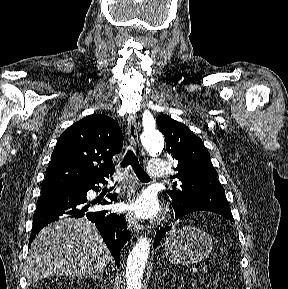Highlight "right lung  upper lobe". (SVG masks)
Wrapping results in <instances>:
<instances>
[{
    "instance_id": "right-lung-upper-lobe-1",
    "label": "right lung upper lobe",
    "mask_w": 288,
    "mask_h": 289,
    "mask_svg": "<svg viewBox=\"0 0 288 289\" xmlns=\"http://www.w3.org/2000/svg\"><path fill=\"white\" fill-rule=\"evenodd\" d=\"M122 146V131L112 118L100 114L83 118L60 136L41 190L72 189L105 179L114 172L112 157Z\"/></svg>"
}]
</instances>
